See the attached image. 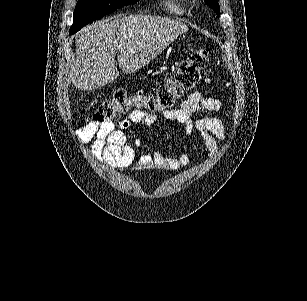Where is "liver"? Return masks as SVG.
<instances>
[{"instance_id": "1", "label": "liver", "mask_w": 307, "mask_h": 301, "mask_svg": "<svg viewBox=\"0 0 307 301\" xmlns=\"http://www.w3.org/2000/svg\"><path fill=\"white\" fill-rule=\"evenodd\" d=\"M187 30L181 20L151 14H116L97 20L78 32L69 78L81 90L100 88L120 74L116 54L122 72H135Z\"/></svg>"}]
</instances>
